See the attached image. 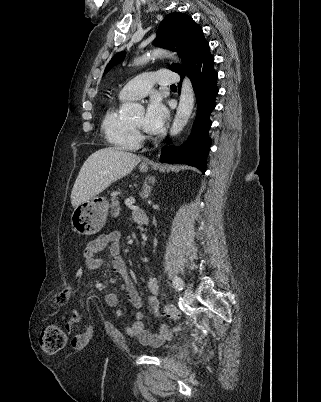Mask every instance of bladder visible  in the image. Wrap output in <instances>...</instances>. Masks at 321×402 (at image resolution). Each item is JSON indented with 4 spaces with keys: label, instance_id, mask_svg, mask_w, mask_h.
Segmentation results:
<instances>
[{
    "label": "bladder",
    "instance_id": "bladder-1",
    "mask_svg": "<svg viewBox=\"0 0 321 402\" xmlns=\"http://www.w3.org/2000/svg\"><path fill=\"white\" fill-rule=\"evenodd\" d=\"M167 342V339L163 340L161 343L164 345Z\"/></svg>",
    "mask_w": 321,
    "mask_h": 402
}]
</instances>
